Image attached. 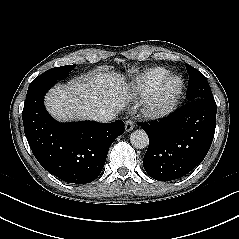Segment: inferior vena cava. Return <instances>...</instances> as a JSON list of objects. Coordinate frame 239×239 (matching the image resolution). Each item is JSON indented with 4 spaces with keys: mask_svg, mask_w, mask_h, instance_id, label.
<instances>
[{
    "mask_svg": "<svg viewBox=\"0 0 239 239\" xmlns=\"http://www.w3.org/2000/svg\"><path fill=\"white\" fill-rule=\"evenodd\" d=\"M115 117H116V114L114 112L101 110L94 114L93 119L99 122H109L113 120Z\"/></svg>",
    "mask_w": 239,
    "mask_h": 239,
    "instance_id": "602c4592",
    "label": "inferior vena cava"
}]
</instances>
